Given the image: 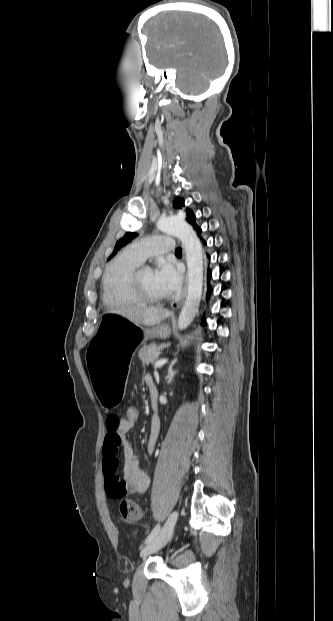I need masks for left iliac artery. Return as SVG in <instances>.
<instances>
[{"instance_id": "44dca946", "label": "left iliac artery", "mask_w": 333, "mask_h": 621, "mask_svg": "<svg viewBox=\"0 0 333 621\" xmlns=\"http://www.w3.org/2000/svg\"><path fill=\"white\" fill-rule=\"evenodd\" d=\"M160 532V525L157 524L154 529L151 531V533L148 535V537L145 540V544H148L149 542H151L154 538L157 537L158 533Z\"/></svg>"}]
</instances>
